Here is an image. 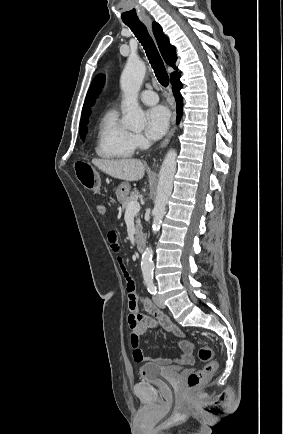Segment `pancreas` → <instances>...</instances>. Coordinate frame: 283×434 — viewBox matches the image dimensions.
<instances>
[{
    "label": "pancreas",
    "mask_w": 283,
    "mask_h": 434,
    "mask_svg": "<svg viewBox=\"0 0 283 434\" xmlns=\"http://www.w3.org/2000/svg\"><path fill=\"white\" fill-rule=\"evenodd\" d=\"M137 200V192L133 191L131 192V195L122 203V209L126 210L128 207V204L132 201H136ZM137 217V215H136ZM136 231L137 234H139L142 231V226H141V221L139 218H136Z\"/></svg>",
    "instance_id": "1"
}]
</instances>
